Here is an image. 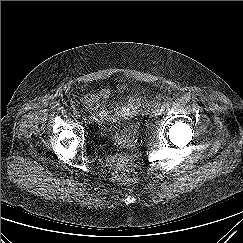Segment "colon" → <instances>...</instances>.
Listing matches in <instances>:
<instances>
[{
  "label": "colon",
  "instance_id": "colon-1",
  "mask_svg": "<svg viewBox=\"0 0 243 243\" xmlns=\"http://www.w3.org/2000/svg\"><path fill=\"white\" fill-rule=\"evenodd\" d=\"M115 180L122 185L129 184L136 179L135 172L129 168H118L114 173Z\"/></svg>",
  "mask_w": 243,
  "mask_h": 243
}]
</instances>
